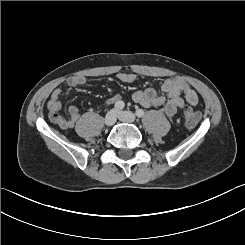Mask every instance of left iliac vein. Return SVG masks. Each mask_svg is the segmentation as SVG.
Here are the masks:
<instances>
[{
    "mask_svg": "<svg viewBox=\"0 0 245 245\" xmlns=\"http://www.w3.org/2000/svg\"><path fill=\"white\" fill-rule=\"evenodd\" d=\"M117 117L122 122L133 123L136 120L135 115L129 111H120L117 113Z\"/></svg>",
    "mask_w": 245,
    "mask_h": 245,
    "instance_id": "left-iliac-vein-1",
    "label": "left iliac vein"
}]
</instances>
